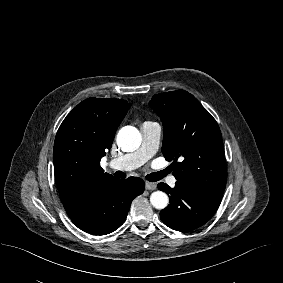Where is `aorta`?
Listing matches in <instances>:
<instances>
[{
    "instance_id": "obj_1",
    "label": "aorta",
    "mask_w": 283,
    "mask_h": 283,
    "mask_svg": "<svg viewBox=\"0 0 283 283\" xmlns=\"http://www.w3.org/2000/svg\"><path fill=\"white\" fill-rule=\"evenodd\" d=\"M142 138L139 130L133 126H125L121 128L117 135V143L125 152H132L139 148ZM151 205L156 209H164L167 207L169 198L162 191H155L150 196Z\"/></svg>"
}]
</instances>
